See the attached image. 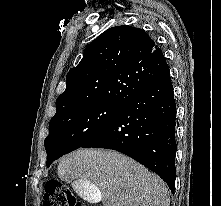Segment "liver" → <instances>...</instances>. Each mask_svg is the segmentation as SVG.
I'll list each match as a JSON object with an SVG mask.
<instances>
[{
	"label": "liver",
	"instance_id": "1",
	"mask_svg": "<svg viewBox=\"0 0 221 206\" xmlns=\"http://www.w3.org/2000/svg\"><path fill=\"white\" fill-rule=\"evenodd\" d=\"M58 176L71 183L76 192L81 187L98 189L104 206L170 203L168 189L159 176L116 151L79 149L69 153L60 160Z\"/></svg>",
	"mask_w": 221,
	"mask_h": 206
}]
</instances>
